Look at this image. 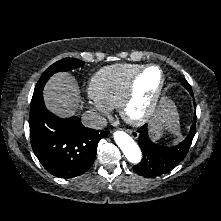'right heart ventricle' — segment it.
I'll return each mask as SVG.
<instances>
[{
  "mask_svg": "<svg viewBox=\"0 0 221 221\" xmlns=\"http://www.w3.org/2000/svg\"><path fill=\"white\" fill-rule=\"evenodd\" d=\"M141 67L136 64H117L100 69L88 83V95L109 108H118L131 77Z\"/></svg>",
  "mask_w": 221,
  "mask_h": 221,
  "instance_id": "right-heart-ventricle-1",
  "label": "right heart ventricle"
}]
</instances>
